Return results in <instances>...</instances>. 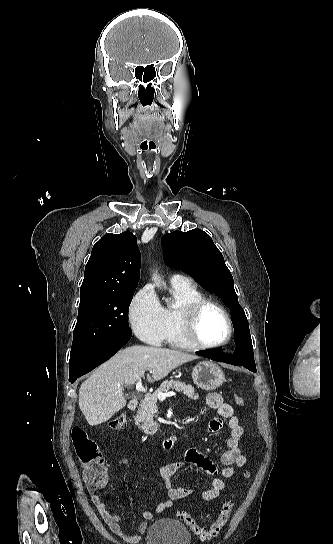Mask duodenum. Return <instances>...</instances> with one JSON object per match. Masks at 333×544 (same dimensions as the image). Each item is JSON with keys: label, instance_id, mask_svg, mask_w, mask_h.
Wrapping results in <instances>:
<instances>
[{"label": "duodenum", "instance_id": "obj_1", "mask_svg": "<svg viewBox=\"0 0 333 544\" xmlns=\"http://www.w3.org/2000/svg\"><path fill=\"white\" fill-rule=\"evenodd\" d=\"M138 403H139L138 399H132L128 404L129 409L135 410L138 406ZM177 441H178L177 435L172 434L170 437L163 440L162 447L164 450H170L177 443Z\"/></svg>", "mask_w": 333, "mask_h": 544}]
</instances>
